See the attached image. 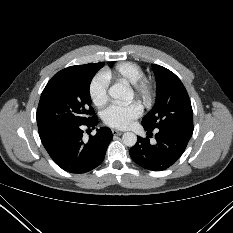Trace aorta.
<instances>
[{"instance_id": "1", "label": "aorta", "mask_w": 233, "mask_h": 233, "mask_svg": "<svg viewBox=\"0 0 233 233\" xmlns=\"http://www.w3.org/2000/svg\"><path fill=\"white\" fill-rule=\"evenodd\" d=\"M109 95L117 100L130 102L133 99L132 90L123 83H115L109 88ZM122 142L128 147H132L137 142V136L132 132H126L122 136Z\"/></svg>"}]
</instances>
